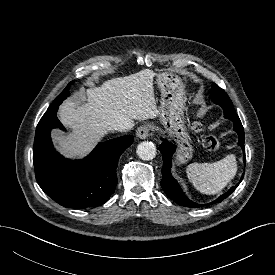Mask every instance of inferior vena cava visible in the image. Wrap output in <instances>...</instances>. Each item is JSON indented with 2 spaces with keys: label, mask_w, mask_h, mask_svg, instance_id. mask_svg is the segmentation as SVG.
I'll return each instance as SVG.
<instances>
[{
  "label": "inferior vena cava",
  "mask_w": 275,
  "mask_h": 275,
  "mask_svg": "<svg viewBox=\"0 0 275 275\" xmlns=\"http://www.w3.org/2000/svg\"><path fill=\"white\" fill-rule=\"evenodd\" d=\"M133 126H134V124L131 122H122V123L117 124L114 127V130L120 131V132H126V131H129Z\"/></svg>",
  "instance_id": "1"
}]
</instances>
